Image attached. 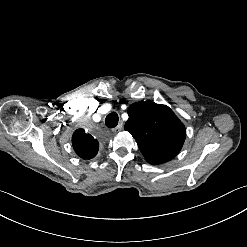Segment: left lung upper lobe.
<instances>
[{"label":"left lung upper lobe","mask_w":247,"mask_h":247,"mask_svg":"<svg viewBox=\"0 0 247 247\" xmlns=\"http://www.w3.org/2000/svg\"><path fill=\"white\" fill-rule=\"evenodd\" d=\"M128 115L124 129L135 138L147 162L162 164L179 153L186 129L168 106L140 101L129 106Z\"/></svg>","instance_id":"1"}]
</instances>
